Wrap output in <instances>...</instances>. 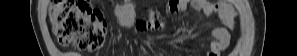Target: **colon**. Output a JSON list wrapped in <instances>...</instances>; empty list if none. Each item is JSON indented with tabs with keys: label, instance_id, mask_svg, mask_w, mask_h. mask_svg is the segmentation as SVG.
I'll use <instances>...</instances> for the list:
<instances>
[{
	"label": "colon",
	"instance_id": "colon-1",
	"mask_svg": "<svg viewBox=\"0 0 297 56\" xmlns=\"http://www.w3.org/2000/svg\"><path fill=\"white\" fill-rule=\"evenodd\" d=\"M50 21L55 37L63 46L92 52L105 43L107 23L102 12L89 1H53Z\"/></svg>",
	"mask_w": 297,
	"mask_h": 56
}]
</instances>
